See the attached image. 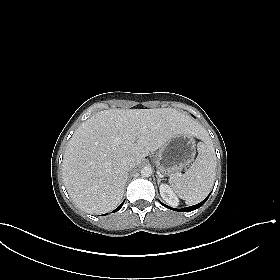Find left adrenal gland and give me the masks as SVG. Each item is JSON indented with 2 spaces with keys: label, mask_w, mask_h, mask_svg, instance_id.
<instances>
[{
  "label": "left adrenal gland",
  "mask_w": 280,
  "mask_h": 280,
  "mask_svg": "<svg viewBox=\"0 0 280 280\" xmlns=\"http://www.w3.org/2000/svg\"><path fill=\"white\" fill-rule=\"evenodd\" d=\"M161 180H162V179H161L160 177L157 176V182H158V184L161 182Z\"/></svg>",
  "instance_id": "1"
}]
</instances>
